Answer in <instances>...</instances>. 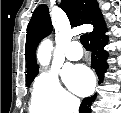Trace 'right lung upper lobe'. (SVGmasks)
Returning <instances> with one entry per match:
<instances>
[{"label":"right lung upper lobe","instance_id":"1","mask_svg":"<svg viewBox=\"0 0 121 113\" xmlns=\"http://www.w3.org/2000/svg\"><path fill=\"white\" fill-rule=\"evenodd\" d=\"M61 8L69 18L72 26L92 24L94 29L89 33L93 37L105 28L102 14L96 0H62ZM52 31V23L48 14V7L40 5L33 12L28 24L25 57L27 61V76L38 72L35 51L37 45Z\"/></svg>","mask_w":121,"mask_h":113}]
</instances>
